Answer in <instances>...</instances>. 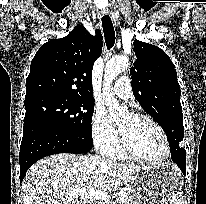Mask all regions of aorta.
I'll return each mask as SVG.
<instances>
[{"label":"aorta","instance_id":"aorta-1","mask_svg":"<svg viewBox=\"0 0 206 204\" xmlns=\"http://www.w3.org/2000/svg\"><path fill=\"white\" fill-rule=\"evenodd\" d=\"M128 65L129 60L126 56H116L110 59L105 66L103 95L112 121H117L127 114V109L119 105L114 97L111 84L121 72L127 69Z\"/></svg>","mask_w":206,"mask_h":204}]
</instances>
